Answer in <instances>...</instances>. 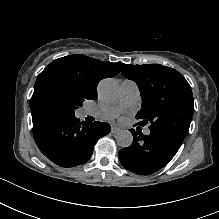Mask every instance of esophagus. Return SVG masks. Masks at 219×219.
<instances>
[{
  "label": "esophagus",
  "mask_w": 219,
  "mask_h": 219,
  "mask_svg": "<svg viewBox=\"0 0 219 219\" xmlns=\"http://www.w3.org/2000/svg\"><path fill=\"white\" fill-rule=\"evenodd\" d=\"M120 131H121V129L118 128V127H116V126H112V127H111V132H112L113 134H116V133H118V132H120Z\"/></svg>",
  "instance_id": "34e87169"
}]
</instances>
